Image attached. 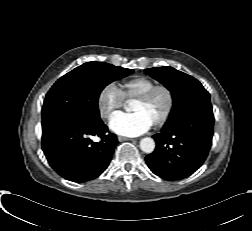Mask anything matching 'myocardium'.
<instances>
[{"label":"myocardium","instance_id":"f54148a6","mask_svg":"<svg viewBox=\"0 0 252 231\" xmlns=\"http://www.w3.org/2000/svg\"><path fill=\"white\" fill-rule=\"evenodd\" d=\"M158 92H164L166 94L167 104L163 114L155 122H153V125L156 127L164 125L173 113L175 107V96L172 89L164 84H156L142 95L136 97L138 101L148 103Z\"/></svg>","mask_w":252,"mask_h":231}]
</instances>
